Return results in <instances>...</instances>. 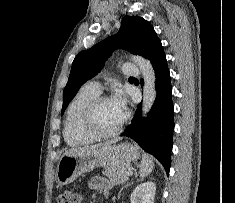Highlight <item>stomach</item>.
Listing matches in <instances>:
<instances>
[{
    "label": "stomach",
    "mask_w": 235,
    "mask_h": 203,
    "mask_svg": "<svg viewBox=\"0 0 235 203\" xmlns=\"http://www.w3.org/2000/svg\"><path fill=\"white\" fill-rule=\"evenodd\" d=\"M139 157L140 152L137 147L129 143L66 154L58 163L56 180L61 185H67L83 173L90 172L96 167L130 164Z\"/></svg>",
    "instance_id": "1"
}]
</instances>
